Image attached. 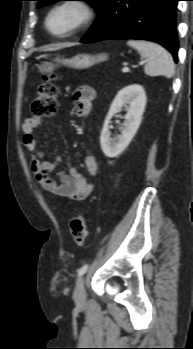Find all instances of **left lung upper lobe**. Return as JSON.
<instances>
[{"instance_id":"obj_1","label":"left lung upper lobe","mask_w":193,"mask_h":349,"mask_svg":"<svg viewBox=\"0 0 193 349\" xmlns=\"http://www.w3.org/2000/svg\"><path fill=\"white\" fill-rule=\"evenodd\" d=\"M39 1L38 6L50 4L57 1H63V0H37ZM81 1H88L90 2L94 8L97 10L98 13H100L106 3L107 0H81Z\"/></svg>"}]
</instances>
